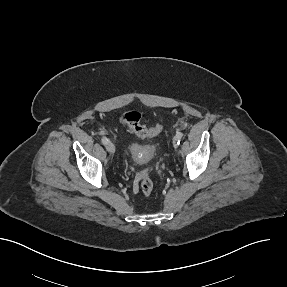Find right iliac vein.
I'll use <instances>...</instances> for the list:
<instances>
[{"mask_svg": "<svg viewBox=\"0 0 287 287\" xmlns=\"http://www.w3.org/2000/svg\"><path fill=\"white\" fill-rule=\"evenodd\" d=\"M105 147H106V149H107V151L109 152V153H114L115 152V146H114V144L112 143V142H108L106 145H105Z\"/></svg>", "mask_w": 287, "mask_h": 287, "instance_id": "obj_1", "label": "right iliac vein"}]
</instances>
